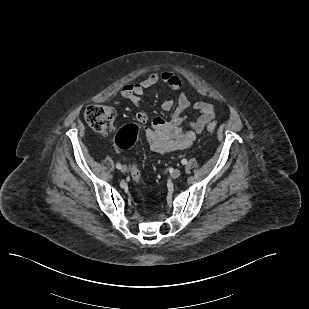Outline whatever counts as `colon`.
Segmentation results:
<instances>
[{"mask_svg":"<svg viewBox=\"0 0 309 309\" xmlns=\"http://www.w3.org/2000/svg\"><path fill=\"white\" fill-rule=\"evenodd\" d=\"M84 117L94 131L100 134H108L113 129L115 111L108 105L93 104L85 109ZM215 129V123H210L207 126V131L209 132H213ZM138 133L139 125L128 124L124 126L116 135L117 147L120 149H129L135 143ZM149 141L152 146L155 144V139L152 135L149 136ZM131 176L135 182H139L141 174L137 166L132 167Z\"/></svg>","mask_w":309,"mask_h":309,"instance_id":"1","label":"colon"}]
</instances>
